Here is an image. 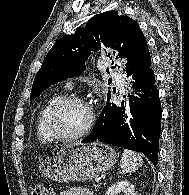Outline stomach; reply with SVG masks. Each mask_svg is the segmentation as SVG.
<instances>
[{"label":"stomach","instance_id":"stomach-1","mask_svg":"<svg viewBox=\"0 0 189 195\" xmlns=\"http://www.w3.org/2000/svg\"><path fill=\"white\" fill-rule=\"evenodd\" d=\"M116 161L112 147L94 142L47 152L39 170L45 178L56 182L87 181L110 169Z\"/></svg>","mask_w":189,"mask_h":195}]
</instances>
